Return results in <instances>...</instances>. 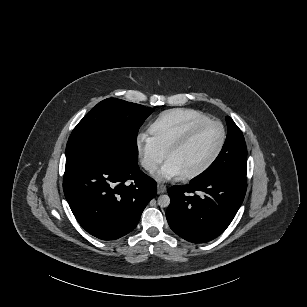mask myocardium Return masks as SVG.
<instances>
[{"mask_svg": "<svg viewBox=\"0 0 307 307\" xmlns=\"http://www.w3.org/2000/svg\"><path fill=\"white\" fill-rule=\"evenodd\" d=\"M214 124H219L223 128V139L222 142L217 149V151L214 153V155L200 168H198L195 171H192L190 173H187L185 175H182V178L185 180L193 179L195 177L201 176L204 173H206L211 167L215 165V163L218 161L220 156L222 155L227 142H228V129L227 126L219 120H211L207 121L206 123L194 128L192 131H190L184 138L181 140L177 141L174 143L171 147L168 148L165 154V159L166 161H169V158L172 154L182 150L186 146H188L204 129L207 127L214 125Z\"/></svg>", "mask_w": 307, "mask_h": 307, "instance_id": "f54148a6", "label": "myocardium"}]
</instances>
